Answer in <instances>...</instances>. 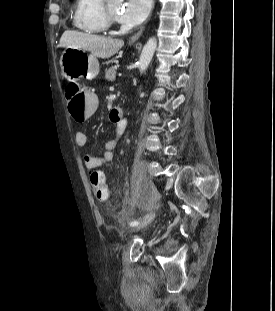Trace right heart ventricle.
<instances>
[{"mask_svg":"<svg viewBox=\"0 0 275 311\" xmlns=\"http://www.w3.org/2000/svg\"><path fill=\"white\" fill-rule=\"evenodd\" d=\"M104 0H75L72 24L87 34H103L108 24L103 15Z\"/></svg>","mask_w":275,"mask_h":311,"instance_id":"e07e8e85","label":"right heart ventricle"}]
</instances>
